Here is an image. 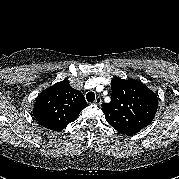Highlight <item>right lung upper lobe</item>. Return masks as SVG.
Segmentation results:
<instances>
[{
    "label": "right lung upper lobe",
    "mask_w": 179,
    "mask_h": 179,
    "mask_svg": "<svg viewBox=\"0 0 179 179\" xmlns=\"http://www.w3.org/2000/svg\"><path fill=\"white\" fill-rule=\"evenodd\" d=\"M86 106L83 94L72 88L68 80H63L38 95L33 115L41 126L61 131L75 121Z\"/></svg>",
    "instance_id": "obj_1"
}]
</instances>
